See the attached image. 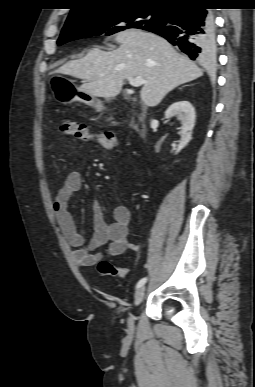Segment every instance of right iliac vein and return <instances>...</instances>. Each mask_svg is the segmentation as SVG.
I'll use <instances>...</instances> for the list:
<instances>
[{
	"instance_id": "63e3f726",
	"label": "right iliac vein",
	"mask_w": 255,
	"mask_h": 387,
	"mask_svg": "<svg viewBox=\"0 0 255 387\" xmlns=\"http://www.w3.org/2000/svg\"><path fill=\"white\" fill-rule=\"evenodd\" d=\"M144 296H145V287L142 286L135 293L134 305H136V306L139 305L143 301ZM128 327L130 330H132L134 327V316H132V315L128 319Z\"/></svg>"
}]
</instances>
